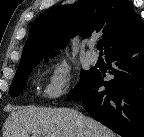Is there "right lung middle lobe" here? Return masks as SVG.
<instances>
[{
	"instance_id": "right-lung-middle-lobe-1",
	"label": "right lung middle lobe",
	"mask_w": 144,
	"mask_h": 137,
	"mask_svg": "<svg viewBox=\"0 0 144 137\" xmlns=\"http://www.w3.org/2000/svg\"><path fill=\"white\" fill-rule=\"evenodd\" d=\"M41 59H35L32 61H29L21 66H18L16 75L12 81L11 87H10V93L13 96H18L19 93L22 91L25 81L27 79V77L29 76L32 68L38 64L40 62ZM94 74V70H87V71H82L81 73V78L80 81L78 83V85L72 89L69 92V99H77L81 93L84 90V87L86 86V84L91 80L92 76Z\"/></svg>"
}]
</instances>
